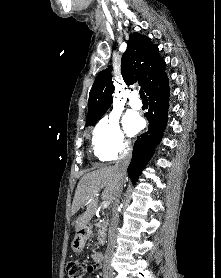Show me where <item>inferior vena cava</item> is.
Listing matches in <instances>:
<instances>
[{
	"mask_svg": "<svg viewBox=\"0 0 221 278\" xmlns=\"http://www.w3.org/2000/svg\"><path fill=\"white\" fill-rule=\"evenodd\" d=\"M131 160V151L130 149L124 150L118 159V161L115 164V169L118 173L119 178L122 180V183L116 188L115 191V199L113 202V213H112V218H111V224L109 228V239H108V245H107V250L104 258V263H103V271H111L112 267L110 265L111 257L113 255L115 245H116V232L118 228V223H119V204H120V198L122 194V189H123V180L126 177V170L127 167L130 163Z\"/></svg>",
	"mask_w": 221,
	"mask_h": 278,
	"instance_id": "602c4592",
	"label": "inferior vena cava"
}]
</instances>
